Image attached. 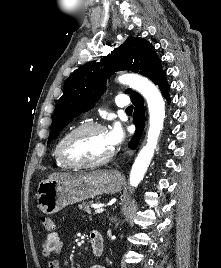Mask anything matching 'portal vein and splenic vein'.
Masks as SVG:
<instances>
[{
	"mask_svg": "<svg viewBox=\"0 0 221 268\" xmlns=\"http://www.w3.org/2000/svg\"><path fill=\"white\" fill-rule=\"evenodd\" d=\"M95 208V213L96 214H99V213H102L103 211H104V209H103V206L102 205H99V206H95L94 207Z\"/></svg>",
	"mask_w": 221,
	"mask_h": 268,
	"instance_id": "18ae733b",
	"label": "portal vein and splenic vein"
}]
</instances>
